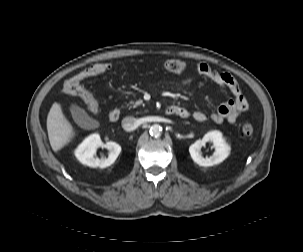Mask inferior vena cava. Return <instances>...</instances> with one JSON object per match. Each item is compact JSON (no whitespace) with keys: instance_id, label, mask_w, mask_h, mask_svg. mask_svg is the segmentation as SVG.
I'll return each instance as SVG.
<instances>
[{"instance_id":"inferior-vena-cava-1","label":"inferior vena cava","mask_w":303,"mask_h":252,"mask_svg":"<svg viewBox=\"0 0 303 252\" xmlns=\"http://www.w3.org/2000/svg\"><path fill=\"white\" fill-rule=\"evenodd\" d=\"M122 127L125 131H133L138 127L137 119L134 117H125L122 120Z\"/></svg>"}]
</instances>
